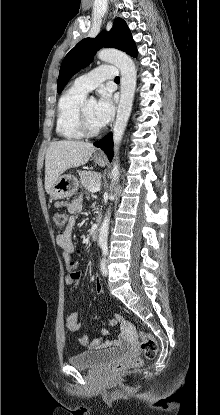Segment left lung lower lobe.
Returning <instances> with one entry per match:
<instances>
[{
	"label": "left lung lower lobe",
	"instance_id": "obj_1",
	"mask_svg": "<svg viewBox=\"0 0 220 415\" xmlns=\"http://www.w3.org/2000/svg\"><path fill=\"white\" fill-rule=\"evenodd\" d=\"M94 146L101 148L105 152V154L108 156V159L111 161L113 157L112 133L108 134L103 139L95 142Z\"/></svg>",
	"mask_w": 220,
	"mask_h": 415
}]
</instances>
